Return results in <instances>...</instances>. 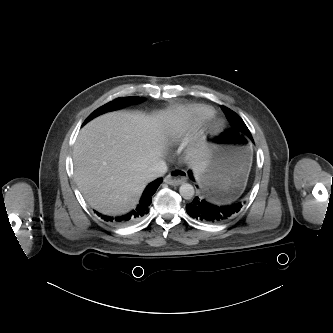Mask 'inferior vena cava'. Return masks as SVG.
Listing matches in <instances>:
<instances>
[{
  "label": "inferior vena cava",
  "mask_w": 333,
  "mask_h": 333,
  "mask_svg": "<svg viewBox=\"0 0 333 333\" xmlns=\"http://www.w3.org/2000/svg\"><path fill=\"white\" fill-rule=\"evenodd\" d=\"M167 170L168 167L164 161H156L146 170L144 178L148 181H152L158 177L164 176Z\"/></svg>",
  "instance_id": "602c4592"
}]
</instances>
